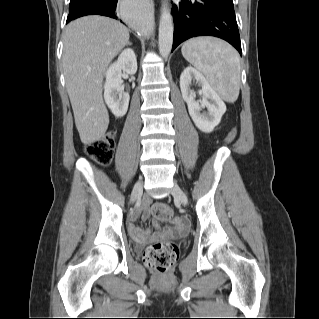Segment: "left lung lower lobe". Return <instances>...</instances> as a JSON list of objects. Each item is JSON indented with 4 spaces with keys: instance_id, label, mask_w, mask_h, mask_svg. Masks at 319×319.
Here are the masks:
<instances>
[{
    "instance_id": "0a47b994",
    "label": "left lung lower lobe",
    "mask_w": 319,
    "mask_h": 319,
    "mask_svg": "<svg viewBox=\"0 0 319 319\" xmlns=\"http://www.w3.org/2000/svg\"><path fill=\"white\" fill-rule=\"evenodd\" d=\"M172 15V51L189 38L206 35L226 40L242 54L233 6L216 0H182L172 6Z\"/></svg>"
}]
</instances>
